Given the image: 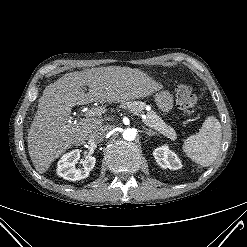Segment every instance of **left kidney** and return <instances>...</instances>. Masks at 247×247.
Segmentation results:
<instances>
[{
	"label": "left kidney",
	"mask_w": 247,
	"mask_h": 247,
	"mask_svg": "<svg viewBox=\"0 0 247 247\" xmlns=\"http://www.w3.org/2000/svg\"><path fill=\"white\" fill-rule=\"evenodd\" d=\"M156 162L164 169L178 170L182 167L181 161L175 152L169 150L168 146H161L153 151Z\"/></svg>",
	"instance_id": "obj_1"
}]
</instances>
